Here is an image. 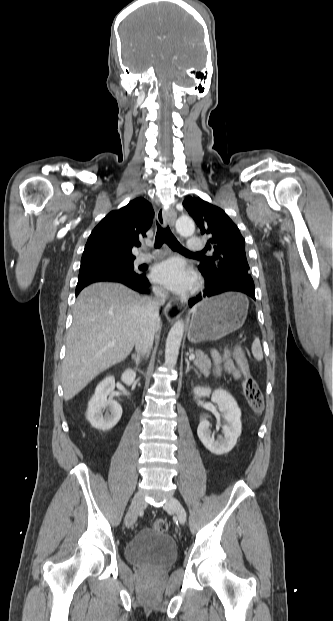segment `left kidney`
Instances as JSON below:
<instances>
[{
  "instance_id": "1",
  "label": "left kidney",
  "mask_w": 333,
  "mask_h": 621,
  "mask_svg": "<svg viewBox=\"0 0 333 621\" xmlns=\"http://www.w3.org/2000/svg\"><path fill=\"white\" fill-rule=\"evenodd\" d=\"M196 398L211 395V400L218 405L224 424L223 437L215 440L210 430V423L203 419L198 425L197 434L203 445L212 453L222 455L228 453L236 445L241 435V410L233 396L223 389L211 392L210 388H194Z\"/></svg>"
}]
</instances>
